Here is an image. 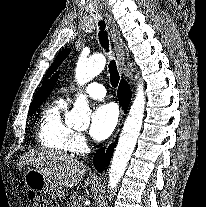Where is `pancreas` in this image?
I'll use <instances>...</instances> for the list:
<instances>
[{
	"label": "pancreas",
	"mask_w": 206,
	"mask_h": 207,
	"mask_svg": "<svg viewBox=\"0 0 206 207\" xmlns=\"http://www.w3.org/2000/svg\"><path fill=\"white\" fill-rule=\"evenodd\" d=\"M70 203H68V207H82L81 202V196L78 193H73L69 197Z\"/></svg>",
	"instance_id": "cf45deb5"
}]
</instances>
